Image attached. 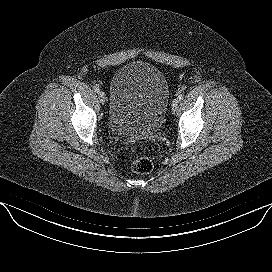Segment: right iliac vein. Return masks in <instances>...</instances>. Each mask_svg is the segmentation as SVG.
I'll list each match as a JSON object with an SVG mask.
<instances>
[{
	"label": "right iliac vein",
	"instance_id": "obj_1",
	"mask_svg": "<svg viewBox=\"0 0 272 272\" xmlns=\"http://www.w3.org/2000/svg\"><path fill=\"white\" fill-rule=\"evenodd\" d=\"M98 96H99L100 103L104 104L106 102L105 93L101 91V92L98 93Z\"/></svg>",
	"mask_w": 272,
	"mask_h": 272
}]
</instances>
